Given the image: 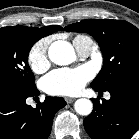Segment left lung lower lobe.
<instances>
[{
	"label": "left lung lower lobe",
	"instance_id": "obj_1",
	"mask_svg": "<svg viewBox=\"0 0 139 139\" xmlns=\"http://www.w3.org/2000/svg\"><path fill=\"white\" fill-rule=\"evenodd\" d=\"M106 91L109 100L92 99L94 108L84 119L85 130L92 139H130L139 129V71Z\"/></svg>",
	"mask_w": 139,
	"mask_h": 139
}]
</instances>
